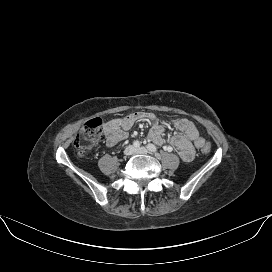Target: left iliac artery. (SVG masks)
I'll return each mask as SVG.
<instances>
[{"instance_id": "44dca946", "label": "left iliac artery", "mask_w": 272, "mask_h": 272, "mask_svg": "<svg viewBox=\"0 0 272 272\" xmlns=\"http://www.w3.org/2000/svg\"><path fill=\"white\" fill-rule=\"evenodd\" d=\"M147 149H148L149 151H151V152H154V153L157 152V148H156V146L153 145V144H148V145H147Z\"/></svg>"}]
</instances>
